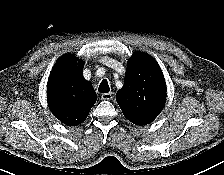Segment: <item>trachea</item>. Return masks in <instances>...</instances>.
<instances>
[{
    "instance_id": "3493384b",
    "label": "trachea",
    "mask_w": 224,
    "mask_h": 175,
    "mask_svg": "<svg viewBox=\"0 0 224 175\" xmlns=\"http://www.w3.org/2000/svg\"><path fill=\"white\" fill-rule=\"evenodd\" d=\"M98 91L100 93H108L110 91V87H109L108 81L106 79H103L101 81Z\"/></svg>"
}]
</instances>
